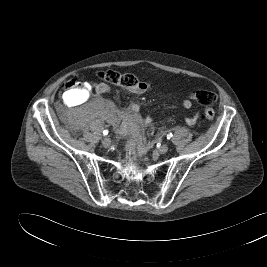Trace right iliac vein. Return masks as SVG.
I'll list each match as a JSON object with an SVG mask.
<instances>
[{"instance_id": "right-iliac-vein-1", "label": "right iliac vein", "mask_w": 267, "mask_h": 267, "mask_svg": "<svg viewBox=\"0 0 267 267\" xmlns=\"http://www.w3.org/2000/svg\"><path fill=\"white\" fill-rule=\"evenodd\" d=\"M110 144H111V140H110V138L105 137V138L103 139V141H102V145H103L105 148H108V147L110 146Z\"/></svg>"}]
</instances>
